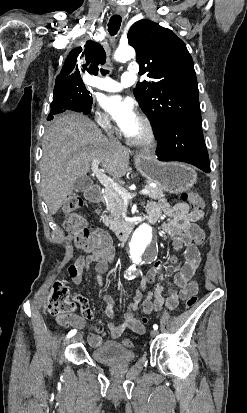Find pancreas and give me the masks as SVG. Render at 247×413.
I'll use <instances>...</instances> for the list:
<instances>
[{
	"label": "pancreas",
	"mask_w": 247,
	"mask_h": 413,
	"mask_svg": "<svg viewBox=\"0 0 247 413\" xmlns=\"http://www.w3.org/2000/svg\"><path fill=\"white\" fill-rule=\"evenodd\" d=\"M145 188L150 190V198H162V196H165L163 190L155 188V186H150V184H146ZM102 202L106 204V211H104V213H109V215L108 217L107 215H103L101 221L105 223L106 227H110V231H119L122 227H128V225H130V223L121 219L125 207V202L121 194H118L115 190H105Z\"/></svg>",
	"instance_id": "cf45deb5"
}]
</instances>
